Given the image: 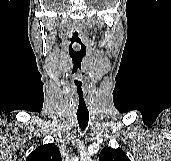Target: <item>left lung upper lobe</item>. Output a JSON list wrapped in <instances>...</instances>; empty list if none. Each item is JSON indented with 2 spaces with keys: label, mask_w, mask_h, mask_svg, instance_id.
<instances>
[{
  "label": "left lung upper lobe",
  "mask_w": 171,
  "mask_h": 161,
  "mask_svg": "<svg viewBox=\"0 0 171 161\" xmlns=\"http://www.w3.org/2000/svg\"><path fill=\"white\" fill-rule=\"evenodd\" d=\"M99 161H130L121 149L105 147L101 150Z\"/></svg>",
  "instance_id": "1"
}]
</instances>
